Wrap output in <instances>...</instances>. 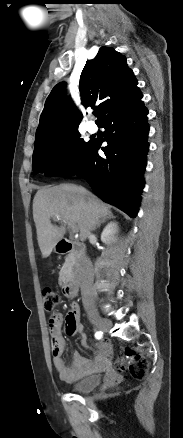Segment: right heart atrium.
Here are the masks:
<instances>
[{
	"label": "right heart atrium",
	"instance_id": "1",
	"mask_svg": "<svg viewBox=\"0 0 183 438\" xmlns=\"http://www.w3.org/2000/svg\"><path fill=\"white\" fill-rule=\"evenodd\" d=\"M72 154V148L70 145H66L63 149L62 155L64 158H69Z\"/></svg>",
	"mask_w": 183,
	"mask_h": 438
}]
</instances>
